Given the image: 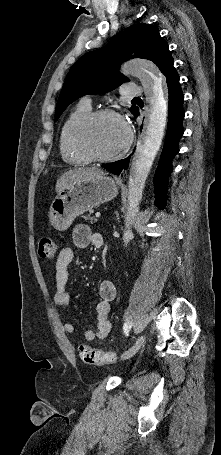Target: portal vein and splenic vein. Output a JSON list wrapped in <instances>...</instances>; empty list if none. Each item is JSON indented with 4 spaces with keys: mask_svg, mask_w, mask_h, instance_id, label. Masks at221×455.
<instances>
[{
    "mask_svg": "<svg viewBox=\"0 0 221 455\" xmlns=\"http://www.w3.org/2000/svg\"><path fill=\"white\" fill-rule=\"evenodd\" d=\"M100 215H101V214H100L99 212H97V213L95 214L96 218H99Z\"/></svg>",
    "mask_w": 221,
    "mask_h": 455,
    "instance_id": "portal-vein-and-splenic-vein-1",
    "label": "portal vein and splenic vein"
}]
</instances>
